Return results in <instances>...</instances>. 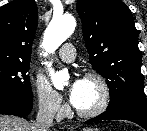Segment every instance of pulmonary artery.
I'll list each match as a JSON object with an SVG mask.
<instances>
[{"mask_svg":"<svg viewBox=\"0 0 147 131\" xmlns=\"http://www.w3.org/2000/svg\"><path fill=\"white\" fill-rule=\"evenodd\" d=\"M59 57L65 62H72L75 59V48L71 43H65L58 51Z\"/></svg>","mask_w":147,"mask_h":131,"instance_id":"obj_1","label":"pulmonary artery"}]
</instances>
